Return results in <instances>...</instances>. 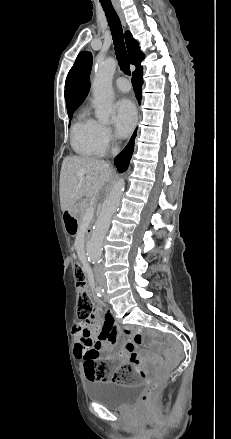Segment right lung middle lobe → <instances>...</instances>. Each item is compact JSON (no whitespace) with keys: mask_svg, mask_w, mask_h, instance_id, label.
Listing matches in <instances>:
<instances>
[{"mask_svg":"<svg viewBox=\"0 0 231 439\" xmlns=\"http://www.w3.org/2000/svg\"><path fill=\"white\" fill-rule=\"evenodd\" d=\"M75 110H76V108H73V109H71V110H68V116H69V118L72 117V115H73V113H74Z\"/></svg>","mask_w":231,"mask_h":439,"instance_id":"dd1d6c3e","label":"right lung middle lobe"}]
</instances>
